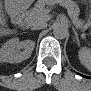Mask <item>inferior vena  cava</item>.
<instances>
[{"mask_svg":"<svg viewBox=\"0 0 91 91\" xmlns=\"http://www.w3.org/2000/svg\"><path fill=\"white\" fill-rule=\"evenodd\" d=\"M30 25L32 27L31 29L33 30L46 28V23L44 21H32Z\"/></svg>","mask_w":91,"mask_h":91,"instance_id":"602c4592","label":"inferior vena cava"}]
</instances>
